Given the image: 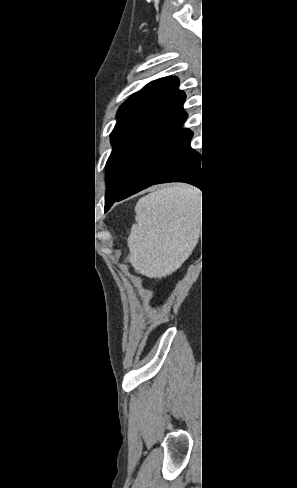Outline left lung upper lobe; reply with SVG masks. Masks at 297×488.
Wrapping results in <instances>:
<instances>
[{"label": "left lung upper lobe", "instance_id": "1", "mask_svg": "<svg viewBox=\"0 0 297 488\" xmlns=\"http://www.w3.org/2000/svg\"><path fill=\"white\" fill-rule=\"evenodd\" d=\"M179 80L168 76L147 84L119 108L110 135L114 146L106 165L105 207L119 196L141 167L180 131L187 118Z\"/></svg>", "mask_w": 297, "mask_h": 488}]
</instances>
